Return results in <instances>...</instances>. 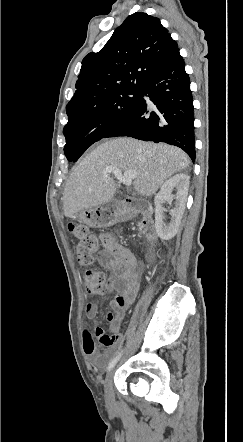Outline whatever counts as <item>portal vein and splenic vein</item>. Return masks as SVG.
Segmentation results:
<instances>
[{
  "mask_svg": "<svg viewBox=\"0 0 243 442\" xmlns=\"http://www.w3.org/2000/svg\"><path fill=\"white\" fill-rule=\"evenodd\" d=\"M110 173L114 174L119 181H121L122 183L128 186L132 184V180L135 179L137 176V172L135 170H127L124 171V173L122 174V171L114 166L106 167L103 172V175L105 177H108Z\"/></svg>",
  "mask_w": 243,
  "mask_h": 442,
  "instance_id": "obj_1",
  "label": "portal vein and splenic vein"
}]
</instances>
